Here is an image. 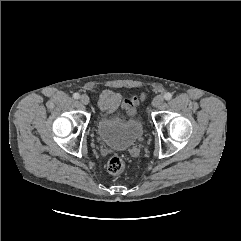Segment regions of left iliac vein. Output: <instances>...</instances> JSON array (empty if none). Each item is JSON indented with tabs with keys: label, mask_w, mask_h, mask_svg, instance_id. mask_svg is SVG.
Instances as JSON below:
<instances>
[{
	"label": "left iliac vein",
	"mask_w": 241,
	"mask_h": 241,
	"mask_svg": "<svg viewBox=\"0 0 241 241\" xmlns=\"http://www.w3.org/2000/svg\"><path fill=\"white\" fill-rule=\"evenodd\" d=\"M164 101V97L162 95H157L153 101H152V105L153 107H158L160 106Z\"/></svg>",
	"instance_id": "left-iliac-vein-1"
}]
</instances>
